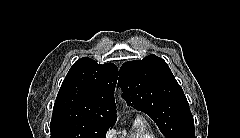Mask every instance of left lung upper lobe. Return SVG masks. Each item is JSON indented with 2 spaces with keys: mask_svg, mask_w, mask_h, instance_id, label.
<instances>
[{
  "mask_svg": "<svg viewBox=\"0 0 240 138\" xmlns=\"http://www.w3.org/2000/svg\"><path fill=\"white\" fill-rule=\"evenodd\" d=\"M119 84L128 106L148 114L166 138H195L187 99L162 58L125 62Z\"/></svg>",
  "mask_w": 240,
  "mask_h": 138,
  "instance_id": "1",
  "label": "left lung upper lobe"
}]
</instances>
